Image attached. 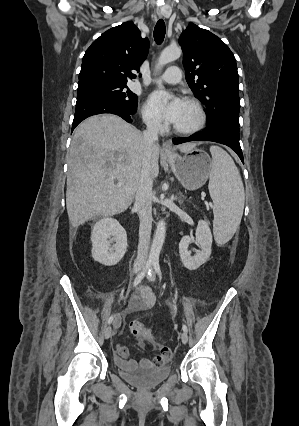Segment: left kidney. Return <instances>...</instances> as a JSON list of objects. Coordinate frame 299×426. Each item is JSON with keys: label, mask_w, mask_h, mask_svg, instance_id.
Instances as JSON below:
<instances>
[{"label": "left kidney", "mask_w": 299, "mask_h": 426, "mask_svg": "<svg viewBox=\"0 0 299 426\" xmlns=\"http://www.w3.org/2000/svg\"><path fill=\"white\" fill-rule=\"evenodd\" d=\"M195 242L200 246L201 250L192 256L188 251L189 245L192 242L190 236L182 237L179 243V253L183 265L189 270H196L204 264L211 255L212 234L209 228V223L204 220H199L195 233Z\"/></svg>", "instance_id": "left-kidney-1"}]
</instances>
